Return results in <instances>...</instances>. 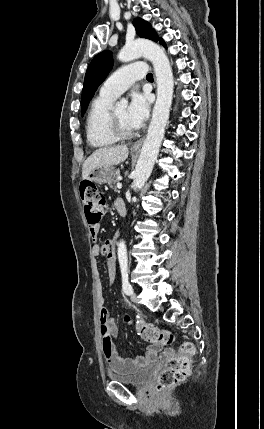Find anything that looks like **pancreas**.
Listing matches in <instances>:
<instances>
[{"label": "pancreas", "instance_id": "cf45deb5", "mask_svg": "<svg viewBox=\"0 0 264 429\" xmlns=\"http://www.w3.org/2000/svg\"><path fill=\"white\" fill-rule=\"evenodd\" d=\"M119 170L115 171L114 176L108 181L109 186L115 191L117 188L115 187L116 182H118Z\"/></svg>", "mask_w": 264, "mask_h": 429}]
</instances>
